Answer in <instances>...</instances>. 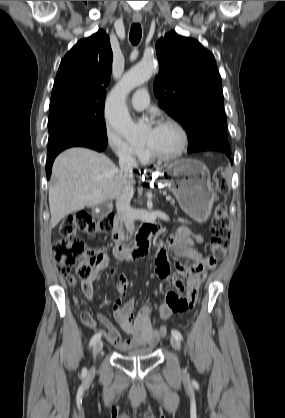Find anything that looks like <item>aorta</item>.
<instances>
[{"instance_id": "aorta-1", "label": "aorta", "mask_w": 285, "mask_h": 418, "mask_svg": "<svg viewBox=\"0 0 285 418\" xmlns=\"http://www.w3.org/2000/svg\"><path fill=\"white\" fill-rule=\"evenodd\" d=\"M157 68L154 58H144L130 68L112 89L106 108V119L109 125L129 142L139 140L144 128L133 122L125 104L127 95L136 87L147 82Z\"/></svg>"}]
</instances>
